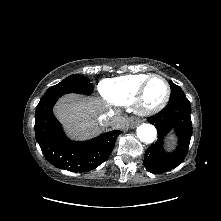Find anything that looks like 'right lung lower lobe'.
<instances>
[{
	"label": "right lung lower lobe",
	"instance_id": "98d812e1",
	"mask_svg": "<svg viewBox=\"0 0 221 221\" xmlns=\"http://www.w3.org/2000/svg\"><path fill=\"white\" fill-rule=\"evenodd\" d=\"M62 95L41 99L35 113V137L52 165L71 172H87L102 164L114 149L119 130L84 142L69 140L52 108Z\"/></svg>",
	"mask_w": 221,
	"mask_h": 221
}]
</instances>
